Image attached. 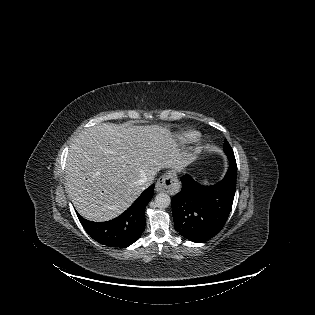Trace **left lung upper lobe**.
<instances>
[{
  "mask_svg": "<svg viewBox=\"0 0 315 315\" xmlns=\"http://www.w3.org/2000/svg\"><path fill=\"white\" fill-rule=\"evenodd\" d=\"M223 149L228 157V160L229 162H236L235 161V157H234V153H233V150L231 148V146L229 145L228 141L225 140L224 141V146H223Z\"/></svg>",
  "mask_w": 315,
  "mask_h": 315,
  "instance_id": "left-lung-upper-lobe-1",
  "label": "left lung upper lobe"
}]
</instances>
